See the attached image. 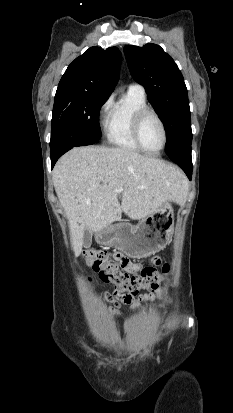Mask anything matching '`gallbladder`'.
I'll use <instances>...</instances> for the list:
<instances>
[{"label":"gallbladder","instance_id":"bac80fb5","mask_svg":"<svg viewBox=\"0 0 233 413\" xmlns=\"http://www.w3.org/2000/svg\"><path fill=\"white\" fill-rule=\"evenodd\" d=\"M92 243V234L89 230H85L83 234V246L89 248Z\"/></svg>","mask_w":233,"mask_h":413}]
</instances>
